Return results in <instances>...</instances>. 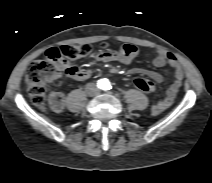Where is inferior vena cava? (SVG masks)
<instances>
[{
  "label": "inferior vena cava",
  "mask_w": 212,
  "mask_h": 183,
  "mask_svg": "<svg viewBox=\"0 0 212 183\" xmlns=\"http://www.w3.org/2000/svg\"><path fill=\"white\" fill-rule=\"evenodd\" d=\"M86 90L90 96H96L100 93L99 89L94 83H88L86 85Z\"/></svg>",
  "instance_id": "obj_1"
}]
</instances>
